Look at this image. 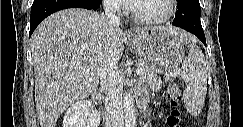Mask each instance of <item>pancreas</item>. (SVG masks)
Here are the masks:
<instances>
[{"label":"pancreas","mask_w":243,"mask_h":127,"mask_svg":"<svg viewBox=\"0 0 243 127\" xmlns=\"http://www.w3.org/2000/svg\"><path fill=\"white\" fill-rule=\"evenodd\" d=\"M139 68L144 69V74L141 75L142 79L148 81L153 90L160 89L162 82L153 68L143 60L140 61Z\"/></svg>","instance_id":"pancreas-1"}]
</instances>
